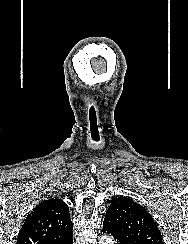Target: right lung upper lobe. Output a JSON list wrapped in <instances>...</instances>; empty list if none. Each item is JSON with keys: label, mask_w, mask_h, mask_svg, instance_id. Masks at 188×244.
I'll use <instances>...</instances> for the list:
<instances>
[{"label": "right lung upper lobe", "mask_w": 188, "mask_h": 244, "mask_svg": "<svg viewBox=\"0 0 188 244\" xmlns=\"http://www.w3.org/2000/svg\"><path fill=\"white\" fill-rule=\"evenodd\" d=\"M72 228L67 204L48 199L26 217L16 244H54L72 233Z\"/></svg>", "instance_id": "1"}]
</instances>
